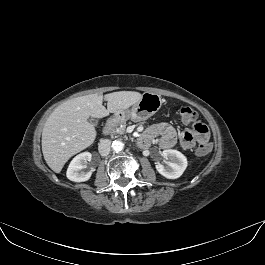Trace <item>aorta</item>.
I'll use <instances>...</instances> for the list:
<instances>
[{"mask_svg": "<svg viewBox=\"0 0 265 265\" xmlns=\"http://www.w3.org/2000/svg\"><path fill=\"white\" fill-rule=\"evenodd\" d=\"M124 148V144L123 142L119 141V140H115L112 143V149L114 150V152L118 153L121 152Z\"/></svg>", "mask_w": 265, "mask_h": 265, "instance_id": "obj_1", "label": "aorta"}]
</instances>
